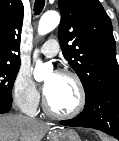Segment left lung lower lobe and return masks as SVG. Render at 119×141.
Here are the masks:
<instances>
[{"instance_id": "left-lung-lower-lobe-1", "label": "left lung lower lobe", "mask_w": 119, "mask_h": 141, "mask_svg": "<svg viewBox=\"0 0 119 141\" xmlns=\"http://www.w3.org/2000/svg\"><path fill=\"white\" fill-rule=\"evenodd\" d=\"M61 124L101 130L119 140V85L109 86L86 98L84 110Z\"/></svg>"}]
</instances>
